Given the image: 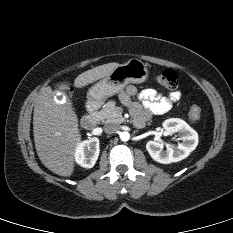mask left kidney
I'll use <instances>...</instances> for the list:
<instances>
[{"label":"left kidney","instance_id":"1","mask_svg":"<svg viewBox=\"0 0 233 233\" xmlns=\"http://www.w3.org/2000/svg\"><path fill=\"white\" fill-rule=\"evenodd\" d=\"M163 128L168 135L178 133L182 142L178 146L169 147L164 151L162 144L156 141H148L146 149L154 161L162 164L178 162L188 157L197 147L198 133L184 120L179 118L168 119L164 121Z\"/></svg>","mask_w":233,"mask_h":233}]
</instances>
